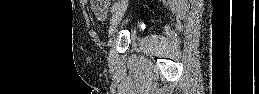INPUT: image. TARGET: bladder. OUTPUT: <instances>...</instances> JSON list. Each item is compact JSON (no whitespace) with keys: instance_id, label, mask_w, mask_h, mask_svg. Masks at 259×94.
Returning <instances> with one entry per match:
<instances>
[{"instance_id":"1","label":"bladder","mask_w":259,"mask_h":94,"mask_svg":"<svg viewBox=\"0 0 259 94\" xmlns=\"http://www.w3.org/2000/svg\"><path fill=\"white\" fill-rule=\"evenodd\" d=\"M95 12H96L97 17L100 20L105 19V8L104 7L95 8Z\"/></svg>"}]
</instances>
